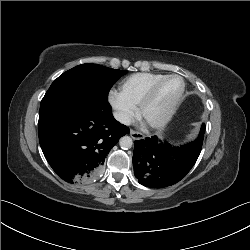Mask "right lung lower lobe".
<instances>
[{
  "mask_svg": "<svg viewBox=\"0 0 250 250\" xmlns=\"http://www.w3.org/2000/svg\"><path fill=\"white\" fill-rule=\"evenodd\" d=\"M39 142L52 169L66 182H89L119 138L130 132L108 101L74 96L39 113Z\"/></svg>",
  "mask_w": 250,
  "mask_h": 250,
  "instance_id": "1",
  "label": "right lung lower lobe"
}]
</instances>
